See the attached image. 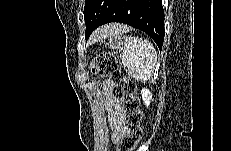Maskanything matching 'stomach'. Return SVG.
Here are the masks:
<instances>
[{"label":"stomach","instance_id":"obj_1","mask_svg":"<svg viewBox=\"0 0 231 151\" xmlns=\"http://www.w3.org/2000/svg\"><path fill=\"white\" fill-rule=\"evenodd\" d=\"M107 45L112 49V50H120L123 45V40L121 36L119 35H114L113 37H110L109 42Z\"/></svg>","mask_w":231,"mask_h":151}]
</instances>
